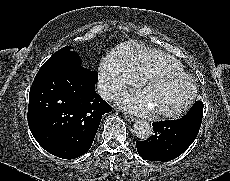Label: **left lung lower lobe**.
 <instances>
[{"label": "left lung lower lobe", "mask_w": 230, "mask_h": 181, "mask_svg": "<svg viewBox=\"0 0 230 181\" xmlns=\"http://www.w3.org/2000/svg\"><path fill=\"white\" fill-rule=\"evenodd\" d=\"M203 103L196 101L187 115L175 121L154 122L148 140L137 141V151L145 160L167 162L180 156L195 140L202 122Z\"/></svg>", "instance_id": "1"}]
</instances>
